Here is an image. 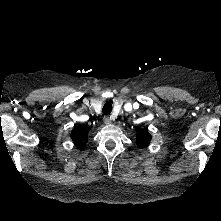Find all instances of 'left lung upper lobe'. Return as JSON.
Instances as JSON below:
<instances>
[{
	"label": "left lung upper lobe",
	"mask_w": 221,
	"mask_h": 221,
	"mask_svg": "<svg viewBox=\"0 0 221 221\" xmlns=\"http://www.w3.org/2000/svg\"><path fill=\"white\" fill-rule=\"evenodd\" d=\"M136 137H137L136 144L141 148L148 146V144L151 141V135L145 130L139 131L136 134Z\"/></svg>",
	"instance_id": "1"
}]
</instances>
